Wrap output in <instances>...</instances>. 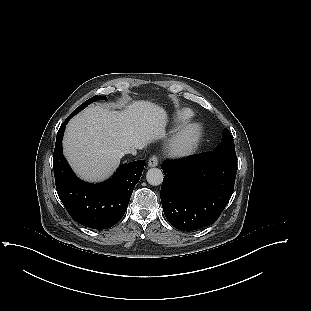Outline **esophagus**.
<instances>
[{"mask_svg": "<svg viewBox=\"0 0 311 311\" xmlns=\"http://www.w3.org/2000/svg\"><path fill=\"white\" fill-rule=\"evenodd\" d=\"M157 165H158V157H157V155L154 154L148 160V166L149 167H156Z\"/></svg>", "mask_w": 311, "mask_h": 311, "instance_id": "esophagus-1", "label": "esophagus"}]
</instances>
